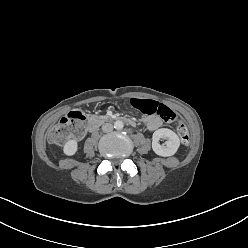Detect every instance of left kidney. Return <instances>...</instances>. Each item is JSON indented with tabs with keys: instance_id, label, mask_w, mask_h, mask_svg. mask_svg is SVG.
I'll list each match as a JSON object with an SVG mask.
<instances>
[{
	"instance_id": "5707ae66",
	"label": "left kidney",
	"mask_w": 248,
	"mask_h": 248,
	"mask_svg": "<svg viewBox=\"0 0 248 248\" xmlns=\"http://www.w3.org/2000/svg\"><path fill=\"white\" fill-rule=\"evenodd\" d=\"M160 138L167 139L164 145L159 144ZM180 146V139L178 135L168 128H161L156 130L152 136L153 151L163 157L173 156Z\"/></svg>"
}]
</instances>
